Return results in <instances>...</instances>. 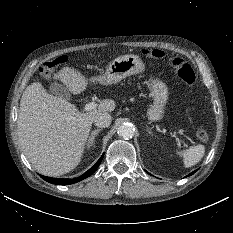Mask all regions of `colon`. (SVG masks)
<instances>
[{"instance_id":"colon-1","label":"colon","mask_w":233,"mask_h":233,"mask_svg":"<svg viewBox=\"0 0 233 233\" xmlns=\"http://www.w3.org/2000/svg\"><path fill=\"white\" fill-rule=\"evenodd\" d=\"M142 54L149 58L161 59L165 57V51L161 49H144ZM68 61L66 55H60L53 60L43 63L40 68L42 76L49 77L54 69L58 66L65 64ZM170 64L175 68L179 78L184 81L188 86H194L196 82V73L194 69L189 65L182 57L173 56L169 60ZM196 136L200 141L208 140V133L205 129L199 128L196 131Z\"/></svg>"}]
</instances>
